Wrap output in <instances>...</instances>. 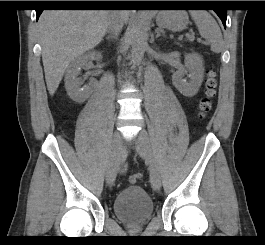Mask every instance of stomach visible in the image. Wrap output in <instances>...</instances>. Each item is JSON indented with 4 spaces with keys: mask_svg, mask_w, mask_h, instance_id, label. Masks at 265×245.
Returning a JSON list of instances; mask_svg holds the SVG:
<instances>
[{
    "mask_svg": "<svg viewBox=\"0 0 265 245\" xmlns=\"http://www.w3.org/2000/svg\"><path fill=\"white\" fill-rule=\"evenodd\" d=\"M188 22V14L183 10H163L156 13L158 26L173 32L185 29Z\"/></svg>",
    "mask_w": 265,
    "mask_h": 245,
    "instance_id": "1",
    "label": "stomach"
}]
</instances>
